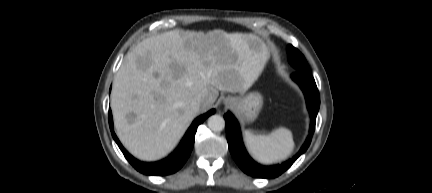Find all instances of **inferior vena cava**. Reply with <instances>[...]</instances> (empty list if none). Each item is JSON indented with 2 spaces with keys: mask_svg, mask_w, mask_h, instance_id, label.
Segmentation results:
<instances>
[{
  "mask_svg": "<svg viewBox=\"0 0 432 193\" xmlns=\"http://www.w3.org/2000/svg\"><path fill=\"white\" fill-rule=\"evenodd\" d=\"M190 105L193 110L198 111L201 105V99H194Z\"/></svg>",
  "mask_w": 432,
  "mask_h": 193,
  "instance_id": "obj_1",
  "label": "inferior vena cava"
}]
</instances>
